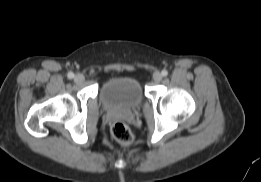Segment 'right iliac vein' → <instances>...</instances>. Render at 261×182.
<instances>
[{"mask_svg": "<svg viewBox=\"0 0 261 182\" xmlns=\"http://www.w3.org/2000/svg\"><path fill=\"white\" fill-rule=\"evenodd\" d=\"M74 80L77 83H82L85 80V78L82 74H76Z\"/></svg>", "mask_w": 261, "mask_h": 182, "instance_id": "obj_1", "label": "right iliac vein"}]
</instances>
